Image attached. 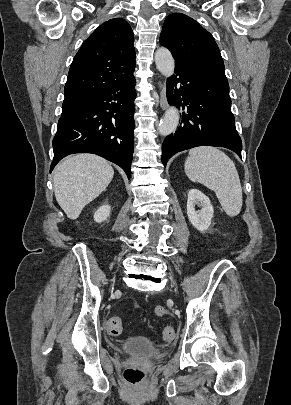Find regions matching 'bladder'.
I'll return each instance as SVG.
<instances>
[{
  "label": "bladder",
  "mask_w": 291,
  "mask_h": 405,
  "mask_svg": "<svg viewBox=\"0 0 291 405\" xmlns=\"http://www.w3.org/2000/svg\"><path fill=\"white\" fill-rule=\"evenodd\" d=\"M122 353L145 357L158 358L163 354L162 348L152 342L150 339L142 336L132 337L119 346Z\"/></svg>",
  "instance_id": "bladder-1"
}]
</instances>
